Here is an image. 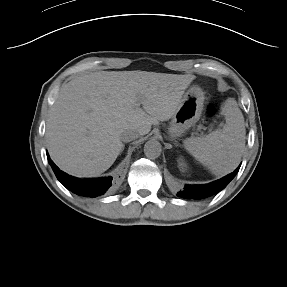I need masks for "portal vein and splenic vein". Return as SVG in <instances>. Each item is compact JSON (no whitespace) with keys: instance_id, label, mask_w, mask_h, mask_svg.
Wrapping results in <instances>:
<instances>
[{"instance_id":"18ae733b","label":"portal vein and splenic vein","mask_w":287,"mask_h":287,"mask_svg":"<svg viewBox=\"0 0 287 287\" xmlns=\"http://www.w3.org/2000/svg\"><path fill=\"white\" fill-rule=\"evenodd\" d=\"M137 108V110L136 111H140V112H142V109L141 108H139V107H136ZM199 128H204V126H199Z\"/></svg>"}]
</instances>
